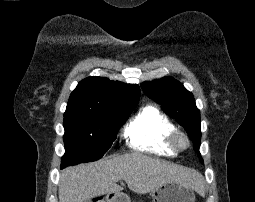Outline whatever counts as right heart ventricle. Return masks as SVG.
<instances>
[{
  "label": "right heart ventricle",
  "instance_id": "right-heart-ventricle-1",
  "mask_svg": "<svg viewBox=\"0 0 255 202\" xmlns=\"http://www.w3.org/2000/svg\"><path fill=\"white\" fill-rule=\"evenodd\" d=\"M175 129L169 118L153 105L141 108L128 122L124 136L133 149L160 156H173L168 136Z\"/></svg>",
  "mask_w": 255,
  "mask_h": 202
}]
</instances>
